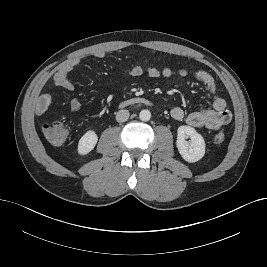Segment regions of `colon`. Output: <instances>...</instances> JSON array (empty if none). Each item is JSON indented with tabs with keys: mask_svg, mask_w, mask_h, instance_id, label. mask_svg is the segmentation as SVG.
<instances>
[{
	"mask_svg": "<svg viewBox=\"0 0 267 267\" xmlns=\"http://www.w3.org/2000/svg\"><path fill=\"white\" fill-rule=\"evenodd\" d=\"M173 72L174 69L168 65H161V66L151 65L145 67V69L143 70V75L144 74L149 75L154 73L169 75ZM136 73H138L137 70H135L134 68H130L125 72V75L132 77ZM43 133L45 137L48 139V141L56 146L62 145L68 138V130L66 126L60 121L46 123L43 126ZM224 139L225 135L222 132H220L216 134L214 141L220 144L224 141Z\"/></svg>",
	"mask_w": 267,
	"mask_h": 267,
	"instance_id": "1",
	"label": "colon"
}]
</instances>
